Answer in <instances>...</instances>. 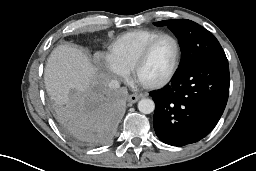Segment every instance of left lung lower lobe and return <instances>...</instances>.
<instances>
[{
  "label": "left lung lower lobe",
  "instance_id": "1",
  "mask_svg": "<svg viewBox=\"0 0 256 171\" xmlns=\"http://www.w3.org/2000/svg\"><path fill=\"white\" fill-rule=\"evenodd\" d=\"M229 84L227 58L202 60L179 70L169 86L151 93L156 135L173 146L204 138L223 114Z\"/></svg>",
  "mask_w": 256,
  "mask_h": 171
}]
</instances>
